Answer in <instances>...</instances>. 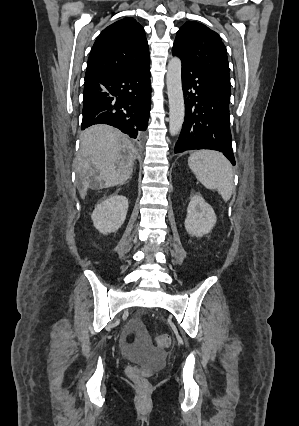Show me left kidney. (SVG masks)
Returning <instances> with one entry per match:
<instances>
[{"label": "left kidney", "instance_id": "left-kidney-1", "mask_svg": "<svg viewBox=\"0 0 299 426\" xmlns=\"http://www.w3.org/2000/svg\"><path fill=\"white\" fill-rule=\"evenodd\" d=\"M216 224L213 208L200 195L190 198L185 219L186 231L196 237L209 233Z\"/></svg>", "mask_w": 299, "mask_h": 426}]
</instances>
